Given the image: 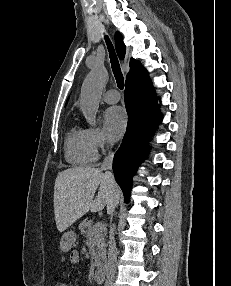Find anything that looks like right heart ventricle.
Listing matches in <instances>:
<instances>
[{
    "label": "right heart ventricle",
    "instance_id": "1",
    "mask_svg": "<svg viewBox=\"0 0 231 286\" xmlns=\"http://www.w3.org/2000/svg\"><path fill=\"white\" fill-rule=\"evenodd\" d=\"M66 160L75 166L89 165L97 160L98 154L93 148L87 129L73 126L64 141Z\"/></svg>",
    "mask_w": 231,
    "mask_h": 286
}]
</instances>
